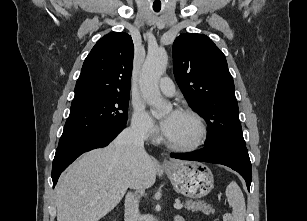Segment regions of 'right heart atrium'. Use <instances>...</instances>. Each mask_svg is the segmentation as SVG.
<instances>
[{"label": "right heart atrium", "mask_w": 307, "mask_h": 221, "mask_svg": "<svg viewBox=\"0 0 307 221\" xmlns=\"http://www.w3.org/2000/svg\"><path fill=\"white\" fill-rule=\"evenodd\" d=\"M133 131L142 139L154 141L158 138V129L140 103L133 104L131 119Z\"/></svg>", "instance_id": "obj_1"}]
</instances>
